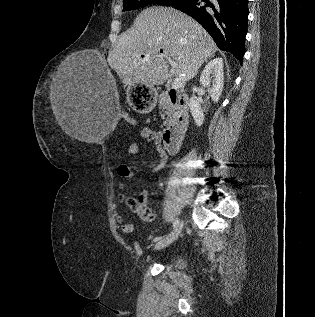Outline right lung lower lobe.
I'll list each match as a JSON object with an SVG mask.
<instances>
[{
    "mask_svg": "<svg viewBox=\"0 0 315 317\" xmlns=\"http://www.w3.org/2000/svg\"><path fill=\"white\" fill-rule=\"evenodd\" d=\"M247 4L248 0H179L173 7L197 20L220 50L232 53L242 62L247 34Z\"/></svg>",
    "mask_w": 315,
    "mask_h": 317,
    "instance_id": "right-lung-lower-lobe-1",
    "label": "right lung lower lobe"
}]
</instances>
